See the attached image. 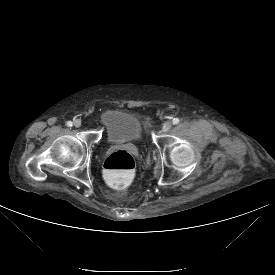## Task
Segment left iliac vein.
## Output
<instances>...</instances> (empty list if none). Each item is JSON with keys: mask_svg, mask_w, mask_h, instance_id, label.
Instances as JSON below:
<instances>
[{"mask_svg": "<svg viewBox=\"0 0 275 275\" xmlns=\"http://www.w3.org/2000/svg\"><path fill=\"white\" fill-rule=\"evenodd\" d=\"M171 126H172V123L170 121H166L162 125V130L164 132H166V131H168L171 128Z\"/></svg>", "mask_w": 275, "mask_h": 275, "instance_id": "4c4485c4", "label": "left iliac vein"}]
</instances>
